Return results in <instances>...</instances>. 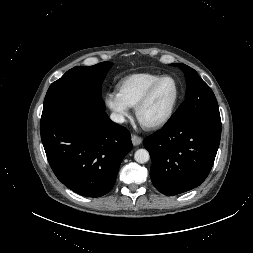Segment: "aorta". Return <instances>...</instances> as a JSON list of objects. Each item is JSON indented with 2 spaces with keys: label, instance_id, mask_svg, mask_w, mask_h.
I'll list each match as a JSON object with an SVG mask.
<instances>
[{
  "label": "aorta",
  "instance_id": "762f6f07",
  "mask_svg": "<svg viewBox=\"0 0 253 253\" xmlns=\"http://www.w3.org/2000/svg\"><path fill=\"white\" fill-rule=\"evenodd\" d=\"M134 159L140 164H144L149 161L150 155L146 149H138L134 154Z\"/></svg>",
  "mask_w": 253,
  "mask_h": 253
}]
</instances>
